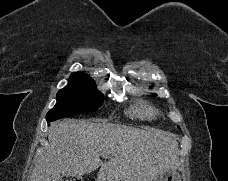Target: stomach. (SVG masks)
Returning <instances> with one entry per match:
<instances>
[{
	"label": "stomach",
	"mask_w": 228,
	"mask_h": 181,
	"mask_svg": "<svg viewBox=\"0 0 228 181\" xmlns=\"http://www.w3.org/2000/svg\"><path fill=\"white\" fill-rule=\"evenodd\" d=\"M159 181H181V177L176 169H171V171L161 175Z\"/></svg>",
	"instance_id": "obj_1"
}]
</instances>
